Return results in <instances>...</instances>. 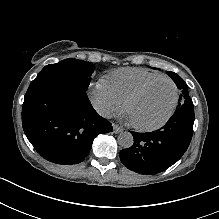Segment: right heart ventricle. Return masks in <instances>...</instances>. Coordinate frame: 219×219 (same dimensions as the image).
<instances>
[{
	"label": "right heart ventricle",
	"mask_w": 219,
	"mask_h": 219,
	"mask_svg": "<svg viewBox=\"0 0 219 219\" xmlns=\"http://www.w3.org/2000/svg\"><path fill=\"white\" fill-rule=\"evenodd\" d=\"M163 75L140 68H122L111 72L105 82L113 95L124 104L128 97L144 84Z\"/></svg>",
	"instance_id": "e07e8e85"
}]
</instances>
